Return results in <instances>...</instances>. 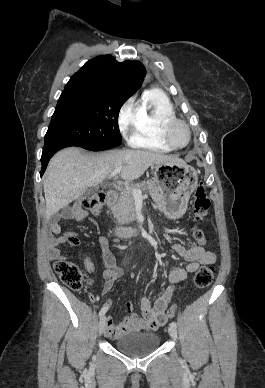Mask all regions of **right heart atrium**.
Wrapping results in <instances>:
<instances>
[{
  "label": "right heart atrium",
  "instance_id": "1",
  "mask_svg": "<svg viewBox=\"0 0 265 388\" xmlns=\"http://www.w3.org/2000/svg\"><path fill=\"white\" fill-rule=\"evenodd\" d=\"M138 114V104L134 99L128 100L123 106L120 114L121 130L127 134L130 125L135 123Z\"/></svg>",
  "mask_w": 265,
  "mask_h": 388
}]
</instances>
